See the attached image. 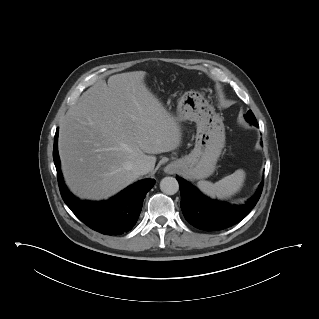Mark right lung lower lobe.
Segmentation results:
<instances>
[{
  "label": "right lung lower lobe",
  "mask_w": 319,
  "mask_h": 319,
  "mask_svg": "<svg viewBox=\"0 0 319 319\" xmlns=\"http://www.w3.org/2000/svg\"><path fill=\"white\" fill-rule=\"evenodd\" d=\"M58 129L54 137L53 159L61 196L84 224L106 235H120L128 232L137 222L146 193L154 186V179H145L129 186L108 201H80L64 184L57 150Z\"/></svg>",
  "instance_id": "1"
}]
</instances>
